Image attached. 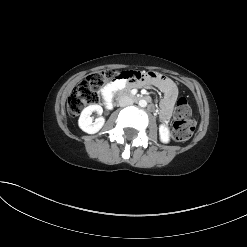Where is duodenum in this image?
<instances>
[{
  "instance_id": "duodenum-1",
  "label": "duodenum",
  "mask_w": 247,
  "mask_h": 247,
  "mask_svg": "<svg viewBox=\"0 0 247 247\" xmlns=\"http://www.w3.org/2000/svg\"><path fill=\"white\" fill-rule=\"evenodd\" d=\"M133 93H132V91H130V90H127V89H120L119 91H118V93H116V94H114V96H113V99H112V103H113V105H118V101H119V99H120V97L121 96H131V98L132 99H134V100H141V99H143V100H146V101H150V97L149 96H140V95H132Z\"/></svg>"
}]
</instances>
